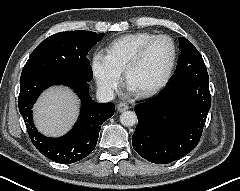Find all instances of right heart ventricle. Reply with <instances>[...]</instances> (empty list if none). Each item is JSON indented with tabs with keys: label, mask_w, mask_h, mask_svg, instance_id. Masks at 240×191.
Instances as JSON below:
<instances>
[{
	"label": "right heart ventricle",
	"mask_w": 240,
	"mask_h": 191,
	"mask_svg": "<svg viewBox=\"0 0 240 191\" xmlns=\"http://www.w3.org/2000/svg\"><path fill=\"white\" fill-rule=\"evenodd\" d=\"M153 36L155 34L150 32H137L121 36L108 44L107 56L114 66L122 72L140 47Z\"/></svg>",
	"instance_id": "1"
}]
</instances>
